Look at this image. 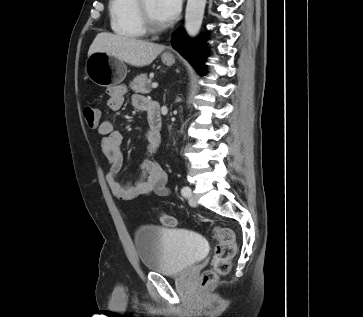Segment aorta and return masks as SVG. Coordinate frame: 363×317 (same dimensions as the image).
<instances>
[{
  "instance_id": "obj_1",
  "label": "aorta",
  "mask_w": 363,
  "mask_h": 317,
  "mask_svg": "<svg viewBox=\"0 0 363 317\" xmlns=\"http://www.w3.org/2000/svg\"><path fill=\"white\" fill-rule=\"evenodd\" d=\"M206 0H188L185 13V30L190 37L199 33L202 25Z\"/></svg>"
}]
</instances>
